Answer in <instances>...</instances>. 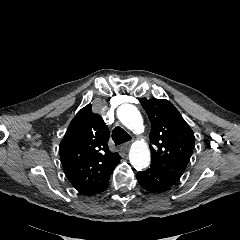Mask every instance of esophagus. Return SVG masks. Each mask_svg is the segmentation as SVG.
<instances>
[{"instance_id":"esophagus-1","label":"esophagus","mask_w":240,"mask_h":240,"mask_svg":"<svg viewBox=\"0 0 240 240\" xmlns=\"http://www.w3.org/2000/svg\"><path fill=\"white\" fill-rule=\"evenodd\" d=\"M121 148L124 150V151H128L129 148H130V143L129 142H126V143H123Z\"/></svg>"}]
</instances>
